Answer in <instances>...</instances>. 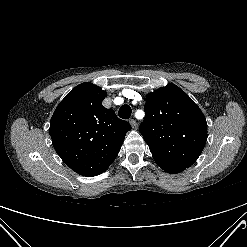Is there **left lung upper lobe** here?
I'll list each match as a JSON object with an SVG mask.
<instances>
[{"label":"left lung upper lobe","instance_id":"left-lung-upper-lobe-1","mask_svg":"<svg viewBox=\"0 0 247 247\" xmlns=\"http://www.w3.org/2000/svg\"><path fill=\"white\" fill-rule=\"evenodd\" d=\"M140 131L155 160L190 167L207 140L204 114L178 86L168 84L146 96Z\"/></svg>","mask_w":247,"mask_h":247}]
</instances>
